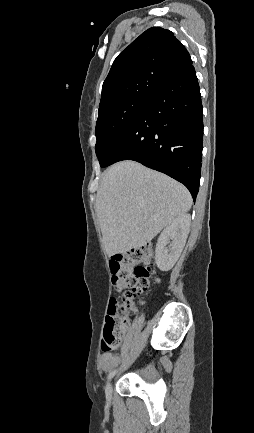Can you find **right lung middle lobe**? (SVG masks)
I'll return each instance as SVG.
<instances>
[{
  "instance_id": "right-lung-middle-lobe-1",
  "label": "right lung middle lobe",
  "mask_w": 254,
  "mask_h": 433,
  "mask_svg": "<svg viewBox=\"0 0 254 433\" xmlns=\"http://www.w3.org/2000/svg\"><path fill=\"white\" fill-rule=\"evenodd\" d=\"M150 99H126L99 109L96 123V155L101 167H106L112 152Z\"/></svg>"
}]
</instances>
